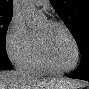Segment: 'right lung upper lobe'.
<instances>
[{
    "label": "right lung upper lobe",
    "instance_id": "1",
    "mask_svg": "<svg viewBox=\"0 0 89 89\" xmlns=\"http://www.w3.org/2000/svg\"><path fill=\"white\" fill-rule=\"evenodd\" d=\"M0 8L3 10H12V0H0Z\"/></svg>",
    "mask_w": 89,
    "mask_h": 89
}]
</instances>
